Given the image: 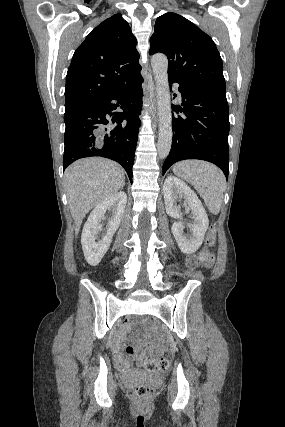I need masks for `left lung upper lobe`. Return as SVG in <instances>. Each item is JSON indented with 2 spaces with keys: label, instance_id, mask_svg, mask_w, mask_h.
<instances>
[{
  "label": "left lung upper lobe",
  "instance_id": "obj_1",
  "mask_svg": "<svg viewBox=\"0 0 285 427\" xmlns=\"http://www.w3.org/2000/svg\"><path fill=\"white\" fill-rule=\"evenodd\" d=\"M158 52L168 58L170 79L226 95L222 59L215 43L186 18L171 12L157 18L149 54Z\"/></svg>",
  "mask_w": 285,
  "mask_h": 427
}]
</instances>
